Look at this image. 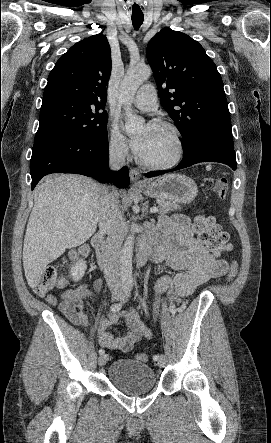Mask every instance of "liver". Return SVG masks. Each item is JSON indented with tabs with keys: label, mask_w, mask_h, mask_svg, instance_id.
<instances>
[{
	"label": "liver",
	"mask_w": 271,
	"mask_h": 443,
	"mask_svg": "<svg viewBox=\"0 0 271 443\" xmlns=\"http://www.w3.org/2000/svg\"><path fill=\"white\" fill-rule=\"evenodd\" d=\"M101 188L77 174H54L39 182L23 243V267L30 287L37 285L48 263L96 231Z\"/></svg>",
	"instance_id": "obj_1"
}]
</instances>
